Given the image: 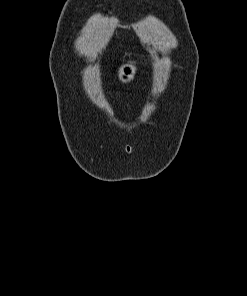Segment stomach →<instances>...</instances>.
I'll return each mask as SVG.
<instances>
[{
  "label": "stomach",
  "mask_w": 247,
  "mask_h": 296,
  "mask_svg": "<svg viewBox=\"0 0 247 296\" xmlns=\"http://www.w3.org/2000/svg\"><path fill=\"white\" fill-rule=\"evenodd\" d=\"M136 70H137L136 66L132 62L123 64L118 69V73H117L118 80L121 83H129L134 79Z\"/></svg>",
  "instance_id": "0dacf381"
}]
</instances>
